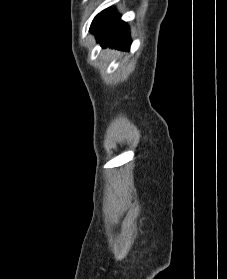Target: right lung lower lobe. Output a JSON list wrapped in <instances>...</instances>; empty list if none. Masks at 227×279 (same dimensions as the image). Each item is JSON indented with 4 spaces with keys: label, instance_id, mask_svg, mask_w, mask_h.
<instances>
[{
    "label": "right lung lower lobe",
    "instance_id": "1",
    "mask_svg": "<svg viewBox=\"0 0 227 279\" xmlns=\"http://www.w3.org/2000/svg\"><path fill=\"white\" fill-rule=\"evenodd\" d=\"M90 30L96 34L97 42L103 46H115L128 50L131 44L129 27L120 20L114 8L99 13L93 20Z\"/></svg>",
    "mask_w": 227,
    "mask_h": 279
}]
</instances>
